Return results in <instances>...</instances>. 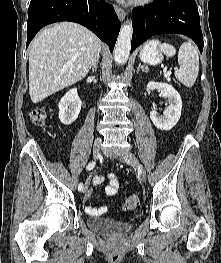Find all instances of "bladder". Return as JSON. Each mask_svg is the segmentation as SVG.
Instances as JSON below:
<instances>
[{
	"instance_id": "bladder-1",
	"label": "bladder",
	"mask_w": 221,
	"mask_h": 263,
	"mask_svg": "<svg viewBox=\"0 0 221 263\" xmlns=\"http://www.w3.org/2000/svg\"><path fill=\"white\" fill-rule=\"evenodd\" d=\"M87 225L90 229L102 234L120 237L132 229L131 221L116 220L108 217L93 216L88 218Z\"/></svg>"
}]
</instances>
